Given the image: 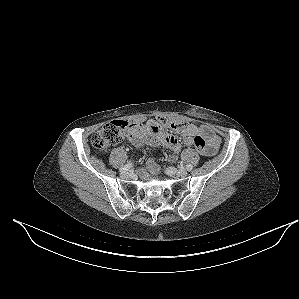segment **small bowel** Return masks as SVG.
Segmentation results:
<instances>
[{"mask_svg":"<svg viewBox=\"0 0 299 299\" xmlns=\"http://www.w3.org/2000/svg\"><path fill=\"white\" fill-rule=\"evenodd\" d=\"M179 134L183 143L187 146L194 144L197 136L204 137L209 149L207 155L214 154L220 145V138L205 125L188 123ZM128 140L137 148H142L146 144L166 146L172 150V154L169 156L170 161L176 160L177 153L181 148L179 141L174 136L164 132L161 119H150L144 124L143 128L132 129L128 134ZM146 165L152 173L158 171V166L153 159H148Z\"/></svg>","mask_w":299,"mask_h":299,"instance_id":"small-bowel-1","label":"small bowel"}]
</instances>
